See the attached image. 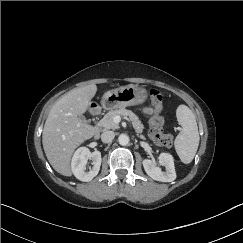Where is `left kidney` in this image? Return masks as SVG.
Here are the masks:
<instances>
[{"instance_id": "5707ae66", "label": "left kidney", "mask_w": 243, "mask_h": 243, "mask_svg": "<svg viewBox=\"0 0 243 243\" xmlns=\"http://www.w3.org/2000/svg\"><path fill=\"white\" fill-rule=\"evenodd\" d=\"M142 163L145 172L156 181L172 182L176 179L174 159L169 153H161L159 156V163L166 168L165 172H162L150 159H144Z\"/></svg>"}]
</instances>
